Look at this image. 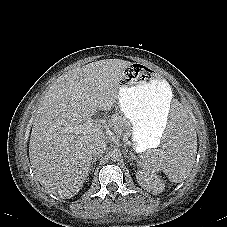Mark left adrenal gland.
I'll return each instance as SVG.
<instances>
[{"label":"left adrenal gland","mask_w":227,"mask_h":227,"mask_svg":"<svg viewBox=\"0 0 227 227\" xmlns=\"http://www.w3.org/2000/svg\"><path fill=\"white\" fill-rule=\"evenodd\" d=\"M130 155H131L130 161H133V160L137 161V158L133 153L130 152Z\"/></svg>","instance_id":"left-adrenal-gland-1"}]
</instances>
